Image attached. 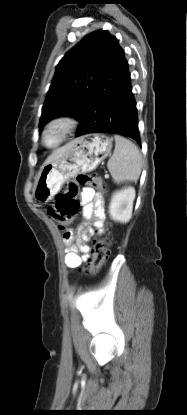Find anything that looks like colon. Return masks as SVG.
I'll use <instances>...</instances> for the list:
<instances>
[{"label":"colon","mask_w":187,"mask_h":415,"mask_svg":"<svg viewBox=\"0 0 187 415\" xmlns=\"http://www.w3.org/2000/svg\"><path fill=\"white\" fill-rule=\"evenodd\" d=\"M79 186H89L98 190H103V180L99 176L79 175L76 183H70L57 195L54 209L49 210V214L55 219L59 227L64 232H69L68 224L79 210L77 194ZM109 237L98 238L94 245L92 257L88 264V271L95 273L99 271L107 262L109 254Z\"/></svg>","instance_id":"colon-1"}]
</instances>
